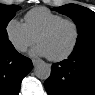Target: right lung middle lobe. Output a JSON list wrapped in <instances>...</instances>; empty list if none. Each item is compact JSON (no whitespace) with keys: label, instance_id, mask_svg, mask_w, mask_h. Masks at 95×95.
<instances>
[{"label":"right lung middle lobe","instance_id":"obj_1","mask_svg":"<svg viewBox=\"0 0 95 95\" xmlns=\"http://www.w3.org/2000/svg\"><path fill=\"white\" fill-rule=\"evenodd\" d=\"M19 9L20 7L17 5H0V46L11 44L6 26Z\"/></svg>","mask_w":95,"mask_h":95}]
</instances>
